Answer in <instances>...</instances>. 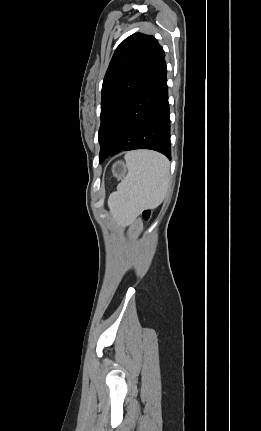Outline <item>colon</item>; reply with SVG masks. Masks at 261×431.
I'll return each mask as SVG.
<instances>
[{
	"instance_id": "colon-1",
	"label": "colon",
	"mask_w": 261,
	"mask_h": 431,
	"mask_svg": "<svg viewBox=\"0 0 261 431\" xmlns=\"http://www.w3.org/2000/svg\"><path fill=\"white\" fill-rule=\"evenodd\" d=\"M142 216L145 220H150L152 217V213L150 210H145L143 211Z\"/></svg>"
}]
</instances>
